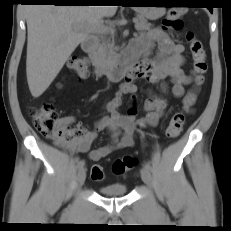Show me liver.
<instances>
[{"label":"liver","instance_id":"1","mask_svg":"<svg viewBox=\"0 0 231 231\" xmlns=\"http://www.w3.org/2000/svg\"><path fill=\"white\" fill-rule=\"evenodd\" d=\"M117 6L29 5L24 8L27 22L26 74L34 98L41 96L66 61L102 24Z\"/></svg>","mask_w":231,"mask_h":231}]
</instances>
